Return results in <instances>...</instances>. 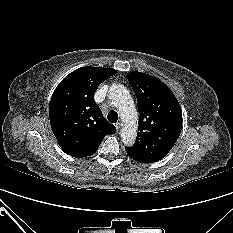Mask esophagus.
I'll return each instance as SVG.
<instances>
[{"mask_svg": "<svg viewBox=\"0 0 233 233\" xmlns=\"http://www.w3.org/2000/svg\"><path fill=\"white\" fill-rule=\"evenodd\" d=\"M115 127H116L117 130H119V128H120V122L115 123Z\"/></svg>", "mask_w": 233, "mask_h": 233, "instance_id": "obj_1", "label": "esophagus"}]
</instances>
